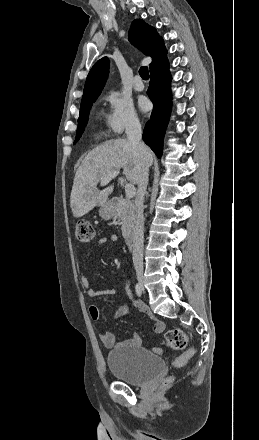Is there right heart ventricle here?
I'll return each mask as SVG.
<instances>
[{
    "mask_svg": "<svg viewBox=\"0 0 259 440\" xmlns=\"http://www.w3.org/2000/svg\"><path fill=\"white\" fill-rule=\"evenodd\" d=\"M103 133L101 131H97L96 135L99 137L101 136Z\"/></svg>",
    "mask_w": 259,
    "mask_h": 440,
    "instance_id": "right-heart-ventricle-1",
    "label": "right heart ventricle"
}]
</instances>
